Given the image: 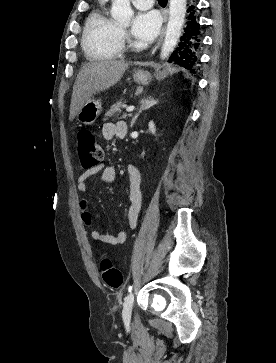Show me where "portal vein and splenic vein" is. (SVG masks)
I'll return each instance as SVG.
<instances>
[{
  "label": "portal vein and splenic vein",
  "instance_id": "obj_1",
  "mask_svg": "<svg viewBox=\"0 0 276 363\" xmlns=\"http://www.w3.org/2000/svg\"><path fill=\"white\" fill-rule=\"evenodd\" d=\"M134 106H128L127 108H126V111L127 112H132L133 110H134Z\"/></svg>",
  "mask_w": 276,
  "mask_h": 363
}]
</instances>
